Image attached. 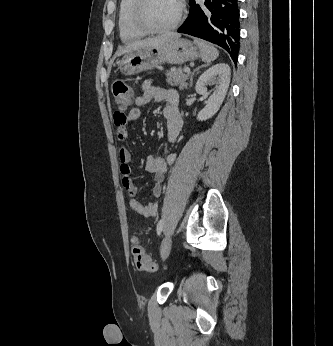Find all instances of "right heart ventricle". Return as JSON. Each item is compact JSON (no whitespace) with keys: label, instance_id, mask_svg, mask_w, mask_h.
Masks as SVG:
<instances>
[{"label":"right heart ventricle","instance_id":"obj_1","mask_svg":"<svg viewBox=\"0 0 333 346\" xmlns=\"http://www.w3.org/2000/svg\"><path fill=\"white\" fill-rule=\"evenodd\" d=\"M136 0H120L117 27L120 39L124 43H132L140 40L145 33L134 23L133 10Z\"/></svg>","mask_w":333,"mask_h":346}]
</instances>
